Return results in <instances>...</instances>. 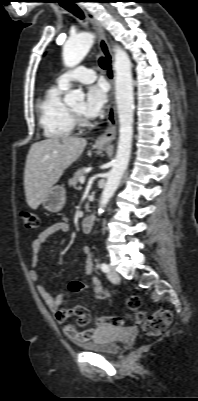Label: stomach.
<instances>
[{
	"label": "stomach",
	"mask_w": 198,
	"mask_h": 401,
	"mask_svg": "<svg viewBox=\"0 0 198 401\" xmlns=\"http://www.w3.org/2000/svg\"><path fill=\"white\" fill-rule=\"evenodd\" d=\"M95 148L104 150L106 145L96 144ZM66 202V190L63 186H53L46 198L42 202V206L49 212L55 213L62 210Z\"/></svg>",
	"instance_id": "stomach-1"
}]
</instances>
